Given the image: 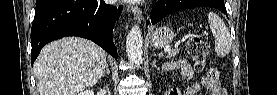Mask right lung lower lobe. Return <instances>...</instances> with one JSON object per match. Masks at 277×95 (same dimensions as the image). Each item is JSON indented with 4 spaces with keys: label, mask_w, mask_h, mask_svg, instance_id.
<instances>
[{
    "label": "right lung lower lobe",
    "mask_w": 277,
    "mask_h": 95,
    "mask_svg": "<svg viewBox=\"0 0 277 95\" xmlns=\"http://www.w3.org/2000/svg\"><path fill=\"white\" fill-rule=\"evenodd\" d=\"M121 11L122 6L108 5L103 0H36L32 65L44 45L66 36L89 39L117 59L112 32Z\"/></svg>",
    "instance_id": "98d812e1"
}]
</instances>
